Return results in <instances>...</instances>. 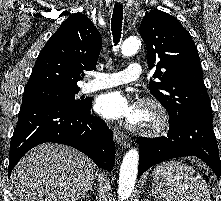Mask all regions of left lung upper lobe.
<instances>
[{"instance_id":"left-lung-upper-lobe-1","label":"left lung upper lobe","mask_w":221,"mask_h":201,"mask_svg":"<svg viewBox=\"0 0 221 201\" xmlns=\"http://www.w3.org/2000/svg\"><path fill=\"white\" fill-rule=\"evenodd\" d=\"M140 35L148 66H156L158 81H150V92L166 108L170 122L196 113L212 115L197 48L181 23L155 9L143 18Z\"/></svg>"}]
</instances>
